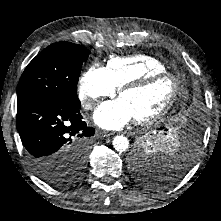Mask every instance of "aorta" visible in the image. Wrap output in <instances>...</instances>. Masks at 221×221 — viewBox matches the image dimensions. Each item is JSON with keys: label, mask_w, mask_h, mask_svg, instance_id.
<instances>
[{"label": "aorta", "mask_w": 221, "mask_h": 221, "mask_svg": "<svg viewBox=\"0 0 221 221\" xmlns=\"http://www.w3.org/2000/svg\"><path fill=\"white\" fill-rule=\"evenodd\" d=\"M113 147L117 152H125L129 148V140L122 135L116 136L113 139Z\"/></svg>", "instance_id": "1"}]
</instances>
